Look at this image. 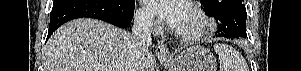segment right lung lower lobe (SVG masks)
<instances>
[{"label": "right lung lower lobe", "instance_id": "1", "mask_svg": "<svg viewBox=\"0 0 301 71\" xmlns=\"http://www.w3.org/2000/svg\"><path fill=\"white\" fill-rule=\"evenodd\" d=\"M134 0H59L53 3L47 39L67 21L89 17L120 28L127 27L134 15Z\"/></svg>", "mask_w": 301, "mask_h": 71}]
</instances>
